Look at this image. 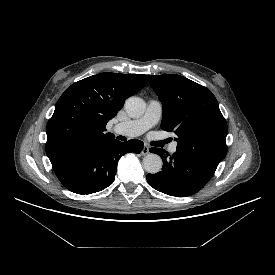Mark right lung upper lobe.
I'll list each match as a JSON object with an SVG mask.
<instances>
[{
	"mask_svg": "<svg viewBox=\"0 0 275 275\" xmlns=\"http://www.w3.org/2000/svg\"><path fill=\"white\" fill-rule=\"evenodd\" d=\"M146 82L142 74L101 73L72 84L47 124L45 151L50 161L113 140L107 122Z\"/></svg>",
	"mask_w": 275,
	"mask_h": 275,
	"instance_id": "obj_1",
	"label": "right lung upper lobe"
}]
</instances>
